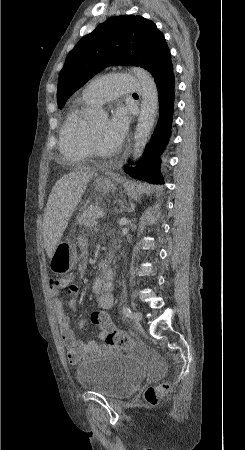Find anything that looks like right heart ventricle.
I'll return each instance as SVG.
<instances>
[{
	"mask_svg": "<svg viewBox=\"0 0 245 450\" xmlns=\"http://www.w3.org/2000/svg\"><path fill=\"white\" fill-rule=\"evenodd\" d=\"M95 105L82 94L70 110L62 126L59 137L61 153L75 161H86L90 155L87 127L90 120L86 116L89 106Z\"/></svg>",
	"mask_w": 245,
	"mask_h": 450,
	"instance_id": "right-heart-ventricle-1",
	"label": "right heart ventricle"
}]
</instances>
